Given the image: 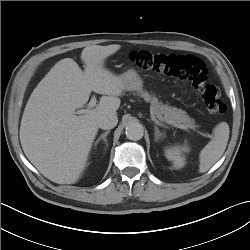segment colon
Returning a JSON list of instances; mask_svg holds the SVG:
<instances>
[{"label":"colon","instance_id":"obj_1","mask_svg":"<svg viewBox=\"0 0 250 250\" xmlns=\"http://www.w3.org/2000/svg\"><path fill=\"white\" fill-rule=\"evenodd\" d=\"M132 61L144 70L189 81L199 94L209 113L222 115L226 105L216 87L207 83V71L201 59L194 55L152 53L146 50L131 54Z\"/></svg>","mask_w":250,"mask_h":250}]
</instances>
